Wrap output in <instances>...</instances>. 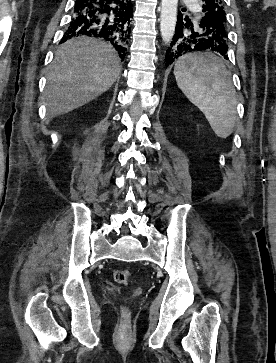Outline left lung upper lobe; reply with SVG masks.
Wrapping results in <instances>:
<instances>
[{
    "label": "left lung upper lobe",
    "mask_w": 276,
    "mask_h": 363,
    "mask_svg": "<svg viewBox=\"0 0 276 363\" xmlns=\"http://www.w3.org/2000/svg\"><path fill=\"white\" fill-rule=\"evenodd\" d=\"M201 1H202L203 13L211 14L212 17L215 18L216 21H218L222 29L220 31L221 34L220 36H222L227 43L228 42V36L226 31L227 18L222 0H201Z\"/></svg>",
    "instance_id": "obj_1"
}]
</instances>
